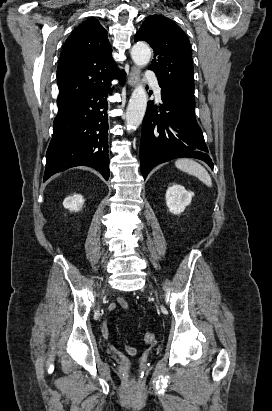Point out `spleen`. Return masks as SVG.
<instances>
[{
  "label": "spleen",
  "instance_id": "1",
  "mask_svg": "<svg viewBox=\"0 0 272 411\" xmlns=\"http://www.w3.org/2000/svg\"><path fill=\"white\" fill-rule=\"evenodd\" d=\"M175 166L179 170L197 177L200 181H202L208 187L212 186V179L209 173L207 172V170L202 165L195 162L194 160H191L188 158H181V159L176 160Z\"/></svg>",
  "mask_w": 272,
  "mask_h": 411
}]
</instances>
